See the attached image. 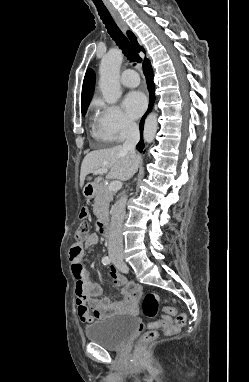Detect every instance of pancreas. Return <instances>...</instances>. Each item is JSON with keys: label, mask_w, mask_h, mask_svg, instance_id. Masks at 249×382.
<instances>
[{"label": "pancreas", "mask_w": 249, "mask_h": 382, "mask_svg": "<svg viewBox=\"0 0 249 382\" xmlns=\"http://www.w3.org/2000/svg\"><path fill=\"white\" fill-rule=\"evenodd\" d=\"M113 191L105 184H100L96 188L93 212L97 218H102L108 214L109 203L113 198Z\"/></svg>", "instance_id": "cf45deb5"}]
</instances>
